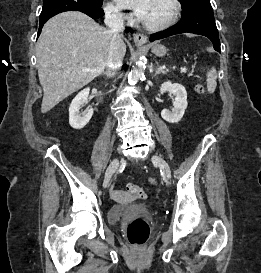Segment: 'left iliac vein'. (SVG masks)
Wrapping results in <instances>:
<instances>
[{
    "label": "left iliac vein",
    "mask_w": 261,
    "mask_h": 273,
    "mask_svg": "<svg viewBox=\"0 0 261 273\" xmlns=\"http://www.w3.org/2000/svg\"><path fill=\"white\" fill-rule=\"evenodd\" d=\"M151 160L158 164L163 175L165 176V178L167 179H171V170H170V167L168 165V163L160 156L158 155H153Z\"/></svg>",
    "instance_id": "obj_1"
}]
</instances>
